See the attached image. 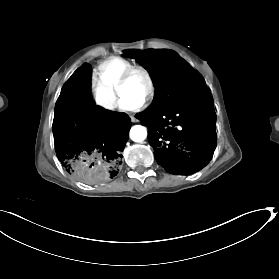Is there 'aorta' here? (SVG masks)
<instances>
[{
    "label": "aorta",
    "mask_w": 279,
    "mask_h": 279,
    "mask_svg": "<svg viewBox=\"0 0 279 279\" xmlns=\"http://www.w3.org/2000/svg\"><path fill=\"white\" fill-rule=\"evenodd\" d=\"M129 135L134 142H142L147 137V130L142 125H135L130 129Z\"/></svg>",
    "instance_id": "762f6f07"
}]
</instances>
